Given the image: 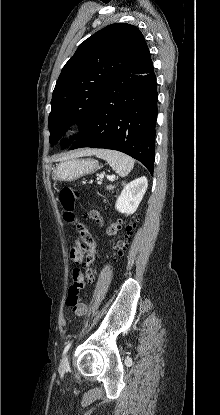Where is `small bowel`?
Returning <instances> with one entry per match:
<instances>
[{
  "instance_id": "c3829d8e",
  "label": "small bowel",
  "mask_w": 220,
  "mask_h": 415,
  "mask_svg": "<svg viewBox=\"0 0 220 415\" xmlns=\"http://www.w3.org/2000/svg\"><path fill=\"white\" fill-rule=\"evenodd\" d=\"M80 274H81V277L84 279V272H81L80 271ZM72 309V311L77 315V316H79V317H82V316H84L85 314H81V313H79L78 311H77V309L76 308H71Z\"/></svg>"
}]
</instances>
